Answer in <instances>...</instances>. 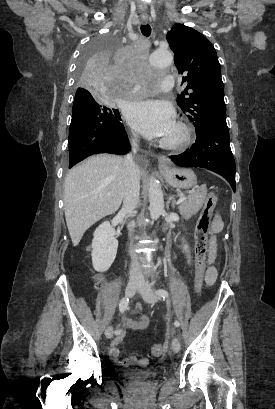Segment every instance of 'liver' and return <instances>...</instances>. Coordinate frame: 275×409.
Returning <instances> with one entry per match:
<instances>
[{"label":"liver","mask_w":275,"mask_h":409,"mask_svg":"<svg viewBox=\"0 0 275 409\" xmlns=\"http://www.w3.org/2000/svg\"><path fill=\"white\" fill-rule=\"evenodd\" d=\"M124 180V158L116 154H95L66 174L64 211L74 247L91 225L118 211Z\"/></svg>","instance_id":"liver-1"}]
</instances>
